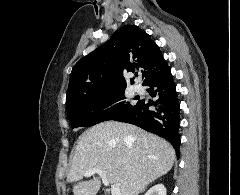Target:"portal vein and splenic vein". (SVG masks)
<instances>
[{
  "instance_id": "portal-vein-and-splenic-vein-1",
  "label": "portal vein and splenic vein",
  "mask_w": 240,
  "mask_h": 195,
  "mask_svg": "<svg viewBox=\"0 0 240 195\" xmlns=\"http://www.w3.org/2000/svg\"><path fill=\"white\" fill-rule=\"evenodd\" d=\"M93 173H99V175H103L101 169H99V167H91V169H88V171H86V173H84L85 177H91V175H93ZM102 181L104 183V185H109V181H107V179H105V177H102ZM111 193L112 195H120V187L118 185V183H113V185H111Z\"/></svg>"
}]
</instances>
